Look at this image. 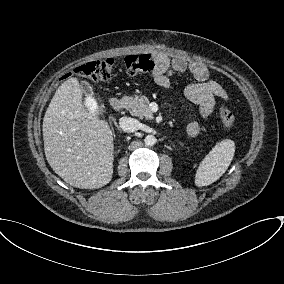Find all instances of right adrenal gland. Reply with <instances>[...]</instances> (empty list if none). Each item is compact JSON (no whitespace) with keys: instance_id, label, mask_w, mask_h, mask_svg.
<instances>
[{"instance_id":"right-adrenal-gland-1","label":"right adrenal gland","mask_w":284,"mask_h":284,"mask_svg":"<svg viewBox=\"0 0 284 284\" xmlns=\"http://www.w3.org/2000/svg\"><path fill=\"white\" fill-rule=\"evenodd\" d=\"M115 126L118 128V130L119 131H121L120 129H119V126L115 123ZM119 151H120V149L118 150V153H119Z\"/></svg>"}]
</instances>
